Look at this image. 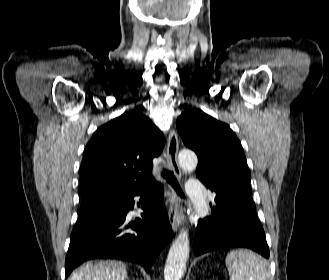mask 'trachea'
<instances>
[{
	"instance_id": "1",
	"label": "trachea",
	"mask_w": 329,
	"mask_h": 280,
	"mask_svg": "<svg viewBox=\"0 0 329 280\" xmlns=\"http://www.w3.org/2000/svg\"><path fill=\"white\" fill-rule=\"evenodd\" d=\"M162 176L164 178H166V180L169 182V184L174 188V190L177 192V194L183 198H185L184 193L177 181V179L175 178L173 172L169 171V170H164L162 172Z\"/></svg>"
}]
</instances>
